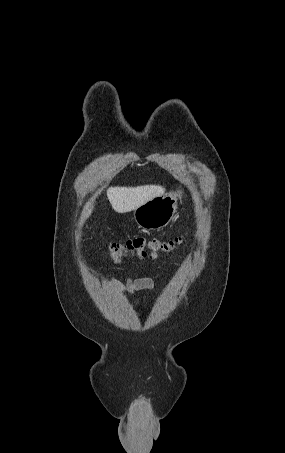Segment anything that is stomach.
Listing matches in <instances>:
<instances>
[{"instance_id":"1","label":"stomach","mask_w":285,"mask_h":453,"mask_svg":"<svg viewBox=\"0 0 285 453\" xmlns=\"http://www.w3.org/2000/svg\"><path fill=\"white\" fill-rule=\"evenodd\" d=\"M179 191L157 196L134 210V220L144 230H160L173 219Z\"/></svg>"}]
</instances>
